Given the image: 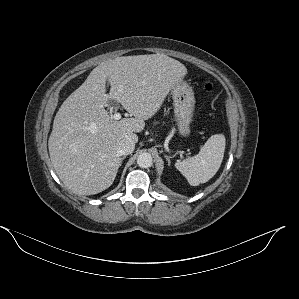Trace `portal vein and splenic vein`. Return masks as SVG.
<instances>
[{
  "mask_svg": "<svg viewBox=\"0 0 299 299\" xmlns=\"http://www.w3.org/2000/svg\"><path fill=\"white\" fill-rule=\"evenodd\" d=\"M112 118H113L114 120H120V119H121V114H120V113H114V114L112 115Z\"/></svg>",
  "mask_w": 299,
  "mask_h": 299,
  "instance_id": "18ae733b",
  "label": "portal vein and splenic vein"
}]
</instances>
